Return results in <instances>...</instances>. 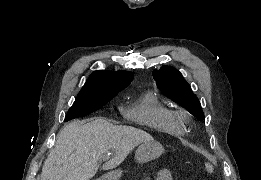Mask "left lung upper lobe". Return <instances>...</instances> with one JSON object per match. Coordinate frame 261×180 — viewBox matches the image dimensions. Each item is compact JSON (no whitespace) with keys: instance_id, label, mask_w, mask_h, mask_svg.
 Here are the masks:
<instances>
[{"instance_id":"1","label":"left lung upper lobe","mask_w":261,"mask_h":180,"mask_svg":"<svg viewBox=\"0 0 261 180\" xmlns=\"http://www.w3.org/2000/svg\"><path fill=\"white\" fill-rule=\"evenodd\" d=\"M153 77L164 95L179 103L198 119H204L198 98L179 71L173 67L163 66L159 71H153Z\"/></svg>"}]
</instances>
